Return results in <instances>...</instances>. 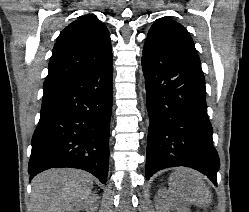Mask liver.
<instances>
[{"label":"liver","instance_id":"obj_1","mask_svg":"<svg viewBox=\"0 0 249 212\" xmlns=\"http://www.w3.org/2000/svg\"><path fill=\"white\" fill-rule=\"evenodd\" d=\"M169 186V190L183 202L200 204L201 208L212 204L211 192L195 170L176 168ZM92 190L93 176L83 170H46L32 180L33 212H67L87 200Z\"/></svg>","mask_w":249,"mask_h":212}]
</instances>
